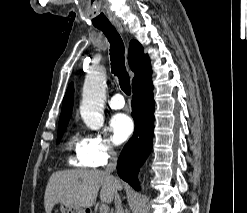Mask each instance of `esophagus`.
Wrapping results in <instances>:
<instances>
[{"label": "esophagus", "instance_id": "obj_1", "mask_svg": "<svg viewBox=\"0 0 247 213\" xmlns=\"http://www.w3.org/2000/svg\"><path fill=\"white\" fill-rule=\"evenodd\" d=\"M114 25L117 27V29H118L121 33H123V27H122V25H121L119 22H115Z\"/></svg>", "mask_w": 247, "mask_h": 213}]
</instances>
